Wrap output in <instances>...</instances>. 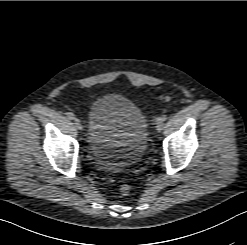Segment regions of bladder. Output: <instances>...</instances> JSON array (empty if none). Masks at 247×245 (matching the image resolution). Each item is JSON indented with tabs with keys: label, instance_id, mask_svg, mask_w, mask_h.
<instances>
[{
	"label": "bladder",
	"instance_id": "obj_1",
	"mask_svg": "<svg viewBox=\"0 0 247 245\" xmlns=\"http://www.w3.org/2000/svg\"><path fill=\"white\" fill-rule=\"evenodd\" d=\"M89 144L96 160L109 170L135 166L148 144L147 119L125 96L96 98L88 112Z\"/></svg>",
	"mask_w": 247,
	"mask_h": 245
}]
</instances>
